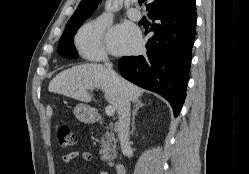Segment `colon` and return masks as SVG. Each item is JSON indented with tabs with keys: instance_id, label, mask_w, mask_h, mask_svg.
<instances>
[{
	"instance_id": "obj_1",
	"label": "colon",
	"mask_w": 249,
	"mask_h": 174,
	"mask_svg": "<svg viewBox=\"0 0 249 174\" xmlns=\"http://www.w3.org/2000/svg\"><path fill=\"white\" fill-rule=\"evenodd\" d=\"M57 137L62 147H71L75 144V136L67 124H62L58 127Z\"/></svg>"
}]
</instances>
